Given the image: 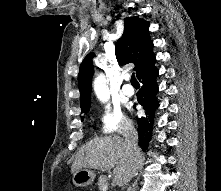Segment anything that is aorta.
<instances>
[{
    "label": "aorta",
    "mask_w": 221,
    "mask_h": 191,
    "mask_svg": "<svg viewBox=\"0 0 221 191\" xmlns=\"http://www.w3.org/2000/svg\"><path fill=\"white\" fill-rule=\"evenodd\" d=\"M93 88L98 99L103 102L108 100L109 90L104 75L100 74L94 79Z\"/></svg>",
    "instance_id": "obj_1"
}]
</instances>
